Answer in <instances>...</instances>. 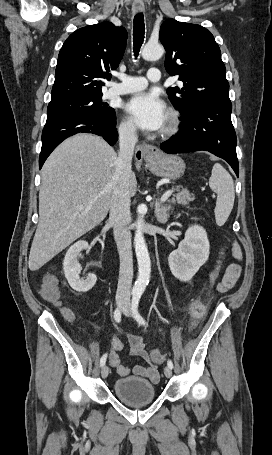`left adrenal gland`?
<instances>
[{"label": "left adrenal gland", "mask_w": 272, "mask_h": 455, "mask_svg": "<svg viewBox=\"0 0 272 455\" xmlns=\"http://www.w3.org/2000/svg\"><path fill=\"white\" fill-rule=\"evenodd\" d=\"M171 206L169 204L163 205L158 201L155 204V216L159 223H166L169 218V211L171 210Z\"/></svg>", "instance_id": "1"}]
</instances>
